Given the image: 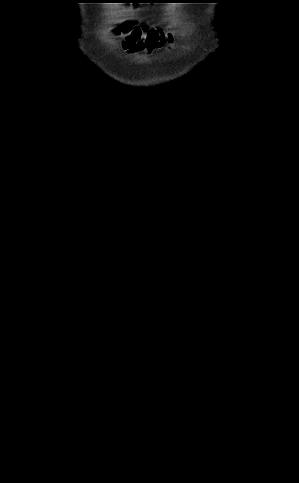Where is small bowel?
Here are the masks:
<instances>
[{
    "instance_id": "small-bowel-1",
    "label": "small bowel",
    "mask_w": 299,
    "mask_h": 483,
    "mask_svg": "<svg viewBox=\"0 0 299 483\" xmlns=\"http://www.w3.org/2000/svg\"><path fill=\"white\" fill-rule=\"evenodd\" d=\"M122 34V45L130 52H153L165 43L172 45V34L159 26L138 25L131 20L123 22L117 29Z\"/></svg>"
}]
</instances>
